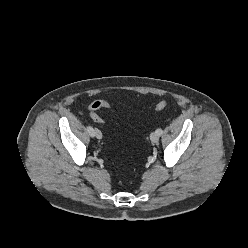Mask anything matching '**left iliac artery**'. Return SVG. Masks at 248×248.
<instances>
[{"mask_svg":"<svg viewBox=\"0 0 248 248\" xmlns=\"http://www.w3.org/2000/svg\"><path fill=\"white\" fill-rule=\"evenodd\" d=\"M156 132H157V134H158L159 136L163 134V130H162V129H160V128H159V129H157V130H156Z\"/></svg>","mask_w":248,"mask_h":248,"instance_id":"1","label":"left iliac artery"}]
</instances>
